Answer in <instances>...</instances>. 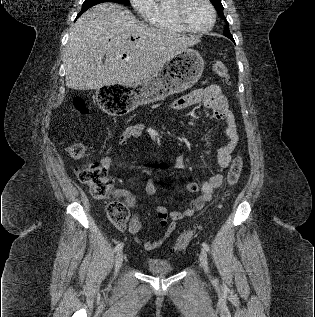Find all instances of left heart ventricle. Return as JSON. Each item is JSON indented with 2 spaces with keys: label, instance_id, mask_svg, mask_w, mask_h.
I'll return each instance as SVG.
<instances>
[{
  "label": "left heart ventricle",
  "instance_id": "b2bd125f",
  "mask_svg": "<svg viewBox=\"0 0 315 317\" xmlns=\"http://www.w3.org/2000/svg\"><path fill=\"white\" fill-rule=\"evenodd\" d=\"M185 17L194 28H205L211 21L210 10L203 0H190L186 6Z\"/></svg>",
  "mask_w": 315,
  "mask_h": 317
}]
</instances>
